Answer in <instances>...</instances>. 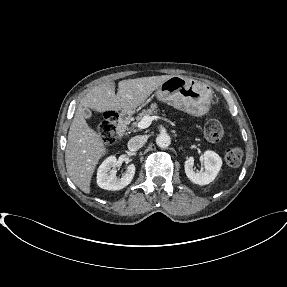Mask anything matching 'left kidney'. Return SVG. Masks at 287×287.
Returning a JSON list of instances; mask_svg holds the SVG:
<instances>
[{"instance_id": "1", "label": "left kidney", "mask_w": 287, "mask_h": 287, "mask_svg": "<svg viewBox=\"0 0 287 287\" xmlns=\"http://www.w3.org/2000/svg\"><path fill=\"white\" fill-rule=\"evenodd\" d=\"M204 172H195L193 169L194 158L190 156L184 164L186 176L195 184L206 185L212 182L222 166L221 157L214 151L207 150L203 154Z\"/></svg>"}]
</instances>
